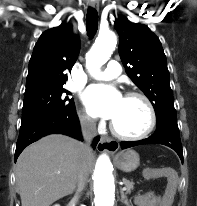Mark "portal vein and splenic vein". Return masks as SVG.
<instances>
[{
    "label": "portal vein and splenic vein",
    "instance_id": "portal-vein-and-splenic-vein-1",
    "mask_svg": "<svg viewBox=\"0 0 197 206\" xmlns=\"http://www.w3.org/2000/svg\"><path fill=\"white\" fill-rule=\"evenodd\" d=\"M122 190H123V191H125V190H126V188H125V187H123V188H122Z\"/></svg>",
    "mask_w": 197,
    "mask_h": 206
}]
</instances>
